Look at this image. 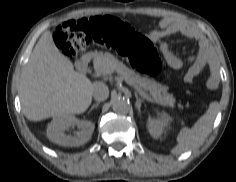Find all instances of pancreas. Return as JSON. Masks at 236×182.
Wrapping results in <instances>:
<instances>
[{
    "label": "pancreas",
    "mask_w": 236,
    "mask_h": 182,
    "mask_svg": "<svg viewBox=\"0 0 236 182\" xmlns=\"http://www.w3.org/2000/svg\"><path fill=\"white\" fill-rule=\"evenodd\" d=\"M94 68L102 73L109 74L114 70L123 78L131 79L139 88L149 92L156 102L174 107L175 99L167 92L168 87L157 83L153 79L142 77L126 67L110 53H96L93 59Z\"/></svg>",
    "instance_id": "obj_1"
}]
</instances>
